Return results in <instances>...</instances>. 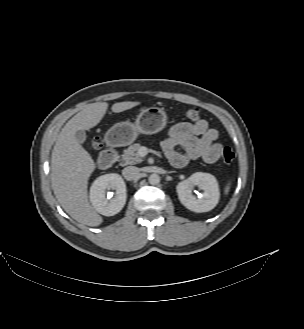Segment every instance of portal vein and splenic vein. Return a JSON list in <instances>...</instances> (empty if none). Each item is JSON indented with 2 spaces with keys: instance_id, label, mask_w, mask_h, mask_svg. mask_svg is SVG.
<instances>
[{
  "instance_id": "portal-vein-and-splenic-vein-1",
  "label": "portal vein and splenic vein",
  "mask_w": 304,
  "mask_h": 329,
  "mask_svg": "<svg viewBox=\"0 0 304 329\" xmlns=\"http://www.w3.org/2000/svg\"><path fill=\"white\" fill-rule=\"evenodd\" d=\"M139 154H140L141 156H145V155H146V149H145L144 147H142V148L140 149V151H139Z\"/></svg>"
}]
</instances>
